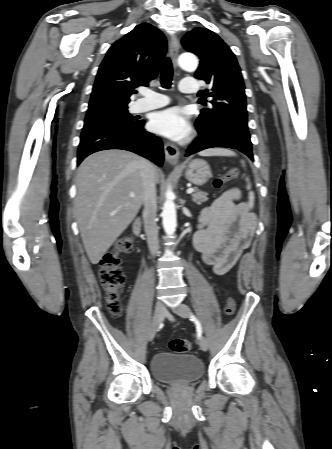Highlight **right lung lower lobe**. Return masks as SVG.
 Returning a JSON list of instances; mask_svg holds the SVG:
<instances>
[{
	"mask_svg": "<svg viewBox=\"0 0 332 449\" xmlns=\"http://www.w3.org/2000/svg\"><path fill=\"white\" fill-rule=\"evenodd\" d=\"M145 121L129 128L100 127L83 131L78 147L77 164L88 155L107 149H123L139 154L162 166L164 153L162 141L145 131Z\"/></svg>",
	"mask_w": 332,
	"mask_h": 449,
	"instance_id": "98d812e1",
	"label": "right lung lower lobe"
}]
</instances>
